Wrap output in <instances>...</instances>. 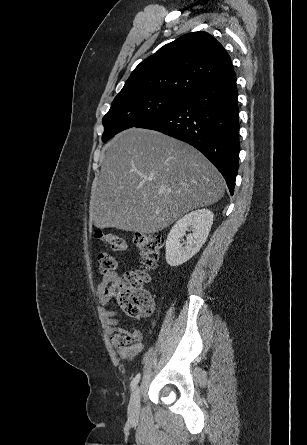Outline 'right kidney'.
<instances>
[{
  "label": "right kidney",
  "instance_id": "obj_1",
  "mask_svg": "<svg viewBox=\"0 0 307 445\" xmlns=\"http://www.w3.org/2000/svg\"><path fill=\"white\" fill-rule=\"evenodd\" d=\"M212 225L213 212L208 210V208L192 210L189 214L179 218L174 227H172L166 241L165 259L168 265L170 267H179V265L189 261L193 255H196L202 245H204ZM188 227H193L190 235H186V231H190ZM184 235L187 237L185 247L180 243Z\"/></svg>",
  "mask_w": 307,
  "mask_h": 445
}]
</instances>
